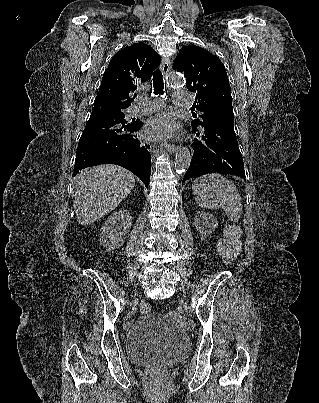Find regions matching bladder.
Here are the masks:
<instances>
[{
	"mask_svg": "<svg viewBox=\"0 0 319 403\" xmlns=\"http://www.w3.org/2000/svg\"><path fill=\"white\" fill-rule=\"evenodd\" d=\"M189 338L168 316L149 313L127 331V356L136 364L154 367L181 360L189 350Z\"/></svg>",
	"mask_w": 319,
	"mask_h": 403,
	"instance_id": "obj_1",
	"label": "bladder"
}]
</instances>
